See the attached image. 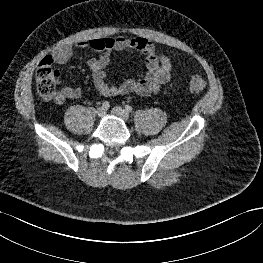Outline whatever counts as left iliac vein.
<instances>
[{"mask_svg":"<svg viewBox=\"0 0 263 263\" xmlns=\"http://www.w3.org/2000/svg\"><path fill=\"white\" fill-rule=\"evenodd\" d=\"M112 113L117 115L118 117L122 118L123 120L127 121L128 118H129V114L126 110H124L123 108L121 107H114L112 109Z\"/></svg>","mask_w":263,"mask_h":263,"instance_id":"obj_1","label":"left iliac vein"}]
</instances>
